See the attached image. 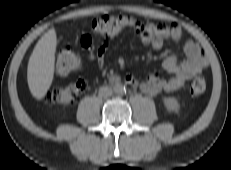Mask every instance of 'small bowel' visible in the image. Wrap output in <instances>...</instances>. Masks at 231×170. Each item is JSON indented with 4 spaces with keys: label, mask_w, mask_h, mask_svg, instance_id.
<instances>
[{
    "label": "small bowel",
    "mask_w": 231,
    "mask_h": 170,
    "mask_svg": "<svg viewBox=\"0 0 231 170\" xmlns=\"http://www.w3.org/2000/svg\"><path fill=\"white\" fill-rule=\"evenodd\" d=\"M139 24L141 28L135 32L139 35L143 43L151 45L155 49H162L166 40L179 41L182 37V29L176 23L170 25L148 23L143 25L139 22ZM110 39L111 37L101 36L97 55L99 63L103 61V53ZM80 43L88 51H93L96 48L93 36L88 33L81 37ZM182 50L185 55L184 60L179 61L177 54H172L163 61V68L171 75L170 78H164L156 73H151L142 80L129 75L126 76L125 81L129 84L138 85L144 93L149 95H158L162 92L170 93L179 90L187 80L201 74L207 66L206 58L194 41H186Z\"/></svg>",
    "instance_id": "1"
}]
</instances>
